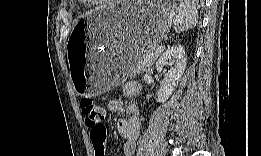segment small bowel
Masks as SVG:
<instances>
[{"instance_id": "1", "label": "small bowel", "mask_w": 261, "mask_h": 156, "mask_svg": "<svg viewBox=\"0 0 261 156\" xmlns=\"http://www.w3.org/2000/svg\"><path fill=\"white\" fill-rule=\"evenodd\" d=\"M124 94L129 97L136 96L141 91V86L136 81H129L124 85ZM124 102L122 99L113 98L108 102V109L112 112H119L123 109ZM127 118H119L116 127L120 135L125 138L123 146V155L132 156L135 153L137 141L140 136L141 122L139 119L138 107L130 103L126 106ZM106 150L100 156H106Z\"/></svg>"}]
</instances>
